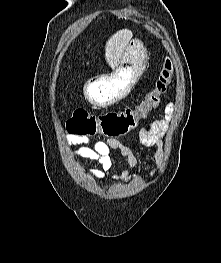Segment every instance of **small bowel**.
Instances as JSON below:
<instances>
[{
    "mask_svg": "<svg viewBox=\"0 0 221 263\" xmlns=\"http://www.w3.org/2000/svg\"><path fill=\"white\" fill-rule=\"evenodd\" d=\"M166 117L162 120H157L149 124L143 125L138 129L139 142L145 147L156 146L155 152L156 167L151 171L153 176L160 168L163 159V134L168 128L169 121L174 112V105L168 104L166 109ZM63 143L67 147H76L71 154L72 158L81 157L89 160H95L100 163V168H91L87 170L88 176L94 177L99 181H103L105 173L112 167V150H118L120 154L126 158L129 168H133L137 164V158L133 154L130 147L124 145L117 139H106L92 143L87 137L67 133ZM113 180L131 182L132 176L129 170H124L118 175H114Z\"/></svg>",
    "mask_w": 221,
    "mask_h": 263,
    "instance_id": "small-bowel-1",
    "label": "small bowel"
}]
</instances>
